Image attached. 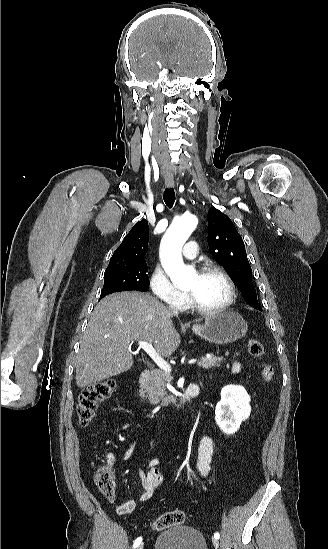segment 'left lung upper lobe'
Masks as SVG:
<instances>
[{
    "label": "left lung upper lobe",
    "mask_w": 328,
    "mask_h": 549,
    "mask_svg": "<svg viewBox=\"0 0 328 549\" xmlns=\"http://www.w3.org/2000/svg\"><path fill=\"white\" fill-rule=\"evenodd\" d=\"M208 227V244L215 260L237 284L247 303L253 307L259 305L245 245L234 224L227 215L211 208Z\"/></svg>",
    "instance_id": "left-lung-upper-lobe-1"
}]
</instances>
